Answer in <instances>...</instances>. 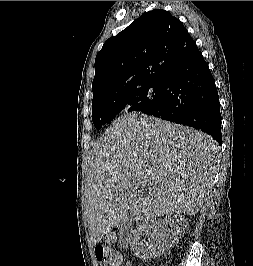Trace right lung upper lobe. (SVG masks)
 <instances>
[{"instance_id": "obj_1", "label": "right lung upper lobe", "mask_w": 253, "mask_h": 266, "mask_svg": "<svg viewBox=\"0 0 253 266\" xmlns=\"http://www.w3.org/2000/svg\"><path fill=\"white\" fill-rule=\"evenodd\" d=\"M199 49L183 24L161 9L146 12L114 37L95 59L93 101L162 81Z\"/></svg>"}]
</instances>
